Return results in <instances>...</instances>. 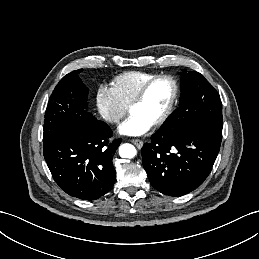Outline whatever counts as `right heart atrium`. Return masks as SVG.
Returning a JSON list of instances; mask_svg holds the SVG:
<instances>
[{
	"instance_id": "1",
	"label": "right heart atrium",
	"mask_w": 259,
	"mask_h": 259,
	"mask_svg": "<svg viewBox=\"0 0 259 259\" xmlns=\"http://www.w3.org/2000/svg\"><path fill=\"white\" fill-rule=\"evenodd\" d=\"M96 103L101 116L110 123L119 122L127 112L126 104L111 87L106 85L98 88Z\"/></svg>"
}]
</instances>
